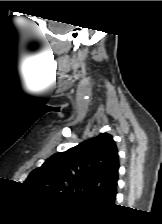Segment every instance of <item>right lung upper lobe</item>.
Returning <instances> with one entry per match:
<instances>
[{"mask_svg":"<svg viewBox=\"0 0 162 224\" xmlns=\"http://www.w3.org/2000/svg\"><path fill=\"white\" fill-rule=\"evenodd\" d=\"M119 156L110 134L103 133L48 158L33 170L26 185L67 195L80 194L97 202H112L118 182Z\"/></svg>","mask_w":162,"mask_h":224,"instance_id":"cb5924a9","label":"right lung upper lobe"}]
</instances>
